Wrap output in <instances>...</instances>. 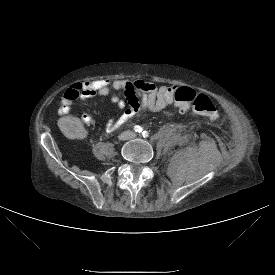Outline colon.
<instances>
[{
    "mask_svg": "<svg viewBox=\"0 0 275 275\" xmlns=\"http://www.w3.org/2000/svg\"><path fill=\"white\" fill-rule=\"evenodd\" d=\"M75 94L69 98H63L65 105L75 100ZM175 102L181 112L192 110L197 114L207 117L210 121H216L219 116V110L214 101L205 93L197 92L189 87H182L175 93Z\"/></svg>",
    "mask_w": 275,
    "mask_h": 275,
    "instance_id": "obj_1",
    "label": "colon"
}]
</instances>
